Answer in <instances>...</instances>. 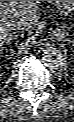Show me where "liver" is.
<instances>
[{
  "label": "liver",
  "instance_id": "obj_1",
  "mask_svg": "<svg viewBox=\"0 0 74 122\" xmlns=\"http://www.w3.org/2000/svg\"><path fill=\"white\" fill-rule=\"evenodd\" d=\"M40 1H1L0 4V44L6 43L13 30L11 21L14 19H24L28 30H33L38 25L40 16Z\"/></svg>",
  "mask_w": 74,
  "mask_h": 122
}]
</instances>
